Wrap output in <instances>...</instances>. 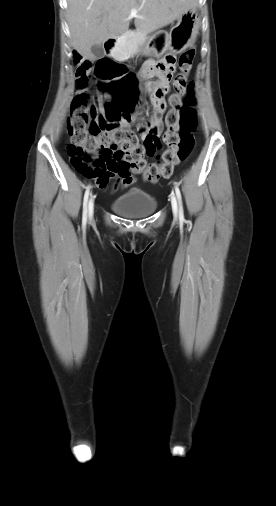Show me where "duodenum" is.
I'll return each instance as SVG.
<instances>
[{"instance_id": "duodenum-1", "label": "duodenum", "mask_w": 276, "mask_h": 506, "mask_svg": "<svg viewBox=\"0 0 276 506\" xmlns=\"http://www.w3.org/2000/svg\"><path fill=\"white\" fill-rule=\"evenodd\" d=\"M120 40H121V36H113V37H110L109 39H107V40H106V42H105V45H104V46H105V49H104V51H103V53H102V54H103V56H104V57H106V58H107V57H109V56H110V57L115 56V54H116V53H115V51H113V50H114V49H113V47H114V46H115V45H116V44H117ZM125 50H127V49H125ZM122 54H124V53H122ZM126 54H127V56H129V57H130V56H132V54H133V53H132V51H130V50H129V51H127V53H126Z\"/></svg>"}]
</instances>
